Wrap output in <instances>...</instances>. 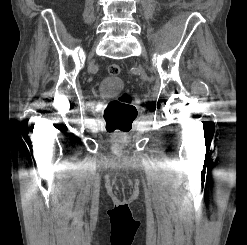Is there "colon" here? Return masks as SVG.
<instances>
[{"mask_svg": "<svg viewBox=\"0 0 247 245\" xmlns=\"http://www.w3.org/2000/svg\"><path fill=\"white\" fill-rule=\"evenodd\" d=\"M120 66L111 64L108 72L112 76L120 74ZM137 112L132 104V96L129 93L122 94L119 98L108 103L104 110V119L112 131L127 132L136 118Z\"/></svg>", "mask_w": 247, "mask_h": 245, "instance_id": "obj_1", "label": "colon"}]
</instances>
